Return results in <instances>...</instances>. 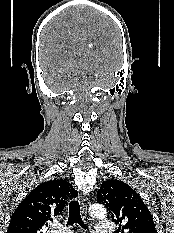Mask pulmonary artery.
Returning a JSON list of instances; mask_svg holds the SVG:
<instances>
[{"label":"pulmonary artery","instance_id":"obj_1","mask_svg":"<svg viewBox=\"0 0 174 233\" xmlns=\"http://www.w3.org/2000/svg\"><path fill=\"white\" fill-rule=\"evenodd\" d=\"M97 233H113L115 231L114 223L102 220L97 223L96 227ZM51 233H71L66 228H58L57 230L51 231Z\"/></svg>","mask_w":174,"mask_h":233}]
</instances>
